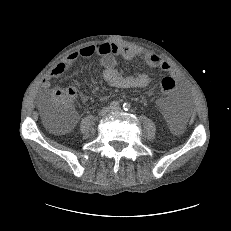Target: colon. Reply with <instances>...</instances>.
I'll list each match as a JSON object with an SVG mask.
<instances>
[{
  "label": "colon",
  "mask_w": 231,
  "mask_h": 231,
  "mask_svg": "<svg viewBox=\"0 0 231 231\" xmlns=\"http://www.w3.org/2000/svg\"><path fill=\"white\" fill-rule=\"evenodd\" d=\"M159 90L165 96L172 95L176 90V80L170 74L163 75L159 80ZM75 96L72 88L54 91L44 106V120L49 128L62 131L71 126L75 113L70 102Z\"/></svg>",
  "instance_id": "obj_1"
}]
</instances>
